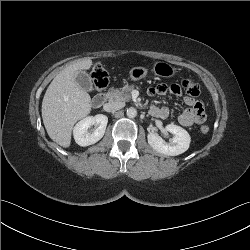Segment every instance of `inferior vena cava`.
Segmentation results:
<instances>
[{
  "label": "inferior vena cava",
  "instance_id": "1",
  "mask_svg": "<svg viewBox=\"0 0 250 250\" xmlns=\"http://www.w3.org/2000/svg\"><path fill=\"white\" fill-rule=\"evenodd\" d=\"M125 104L123 102H110L105 104L104 109L108 112H115L123 108Z\"/></svg>",
  "mask_w": 250,
  "mask_h": 250
}]
</instances>
